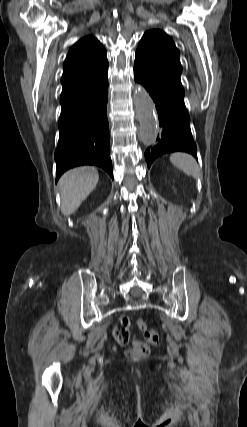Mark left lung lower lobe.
<instances>
[{"label": "left lung lower lobe", "instance_id": "obj_1", "mask_svg": "<svg viewBox=\"0 0 247 427\" xmlns=\"http://www.w3.org/2000/svg\"><path fill=\"white\" fill-rule=\"evenodd\" d=\"M134 78L149 92L156 103L160 133L156 144L147 148L148 168L163 154L183 151L197 159V148L190 130V117L184 104V91L179 90L150 72L135 60Z\"/></svg>", "mask_w": 247, "mask_h": 427}]
</instances>
